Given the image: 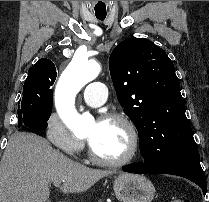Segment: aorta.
<instances>
[{"label":"aorta","mask_w":209,"mask_h":202,"mask_svg":"<svg viewBox=\"0 0 209 202\" xmlns=\"http://www.w3.org/2000/svg\"><path fill=\"white\" fill-rule=\"evenodd\" d=\"M100 71L98 62L76 53L57 83L56 108L64 124L74 134L85 133L94 122L91 115L77 112L74 99L80 89L94 80Z\"/></svg>","instance_id":"1"}]
</instances>
